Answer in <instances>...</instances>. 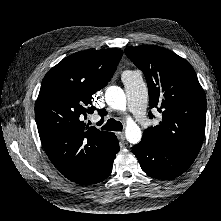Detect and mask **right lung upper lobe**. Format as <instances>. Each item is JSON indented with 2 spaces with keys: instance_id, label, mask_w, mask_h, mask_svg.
Returning <instances> with one entry per match:
<instances>
[{
  "instance_id": "1",
  "label": "right lung upper lobe",
  "mask_w": 221,
  "mask_h": 221,
  "mask_svg": "<svg viewBox=\"0 0 221 221\" xmlns=\"http://www.w3.org/2000/svg\"><path fill=\"white\" fill-rule=\"evenodd\" d=\"M122 54L119 49L72 54L42 81L35 104L39 136L51 162L71 181L93 176L109 163L114 133L90 127L84 119L95 110L92 95L111 80Z\"/></svg>"
}]
</instances>
